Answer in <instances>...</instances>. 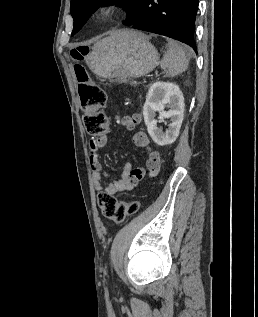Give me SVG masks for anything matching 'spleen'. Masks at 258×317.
I'll use <instances>...</instances> for the list:
<instances>
[{
    "mask_svg": "<svg viewBox=\"0 0 258 317\" xmlns=\"http://www.w3.org/2000/svg\"><path fill=\"white\" fill-rule=\"evenodd\" d=\"M192 54L193 50L190 46L183 48L176 40H168V50L160 62L161 68H167L166 76H175L184 72Z\"/></svg>",
    "mask_w": 258,
    "mask_h": 317,
    "instance_id": "3e777b00",
    "label": "spleen"
}]
</instances>
